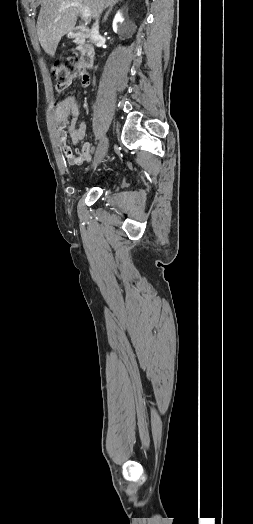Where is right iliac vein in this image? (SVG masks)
<instances>
[{
    "label": "right iliac vein",
    "instance_id": "right-iliac-vein-1",
    "mask_svg": "<svg viewBox=\"0 0 253 524\" xmlns=\"http://www.w3.org/2000/svg\"><path fill=\"white\" fill-rule=\"evenodd\" d=\"M108 146H109L108 138L103 137L97 147V150L95 153V159L93 162V167H97L102 162V160L104 159L107 153Z\"/></svg>",
    "mask_w": 253,
    "mask_h": 524
}]
</instances>
